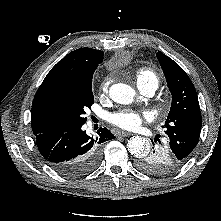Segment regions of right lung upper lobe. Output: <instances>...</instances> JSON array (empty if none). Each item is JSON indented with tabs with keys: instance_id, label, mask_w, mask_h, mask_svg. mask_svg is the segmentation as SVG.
Wrapping results in <instances>:
<instances>
[{
	"instance_id": "cb5924a9",
	"label": "right lung upper lobe",
	"mask_w": 221,
	"mask_h": 221,
	"mask_svg": "<svg viewBox=\"0 0 221 221\" xmlns=\"http://www.w3.org/2000/svg\"><path fill=\"white\" fill-rule=\"evenodd\" d=\"M104 52L92 48H79L70 52L47 74L32 103L31 126L35 136L65 131L50 109L51 94L67 87L84 70L96 67L103 61Z\"/></svg>"
}]
</instances>
